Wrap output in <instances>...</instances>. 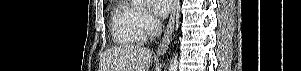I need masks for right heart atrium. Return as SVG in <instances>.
Wrapping results in <instances>:
<instances>
[{
	"label": "right heart atrium",
	"mask_w": 301,
	"mask_h": 71,
	"mask_svg": "<svg viewBox=\"0 0 301 71\" xmlns=\"http://www.w3.org/2000/svg\"><path fill=\"white\" fill-rule=\"evenodd\" d=\"M140 23L147 35H153L159 27L155 16L148 10H143L139 14Z\"/></svg>",
	"instance_id": "right-heart-atrium-1"
}]
</instances>
